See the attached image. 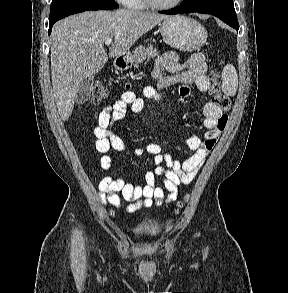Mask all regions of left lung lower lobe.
<instances>
[{
    "instance_id": "left-lung-lower-lobe-1",
    "label": "left lung lower lobe",
    "mask_w": 288,
    "mask_h": 293,
    "mask_svg": "<svg viewBox=\"0 0 288 293\" xmlns=\"http://www.w3.org/2000/svg\"><path fill=\"white\" fill-rule=\"evenodd\" d=\"M192 12L214 15L218 17L219 19H221L226 24H228L229 26L236 29L237 32L239 30V23H238L236 14H232L217 8H211V7L200 8L196 6H185L181 4V6H178L176 8H173L167 11H160L159 13L173 15V14L192 13Z\"/></svg>"
}]
</instances>
